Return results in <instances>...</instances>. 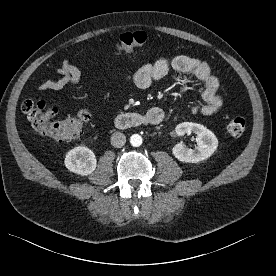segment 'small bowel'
I'll list each match as a JSON object with an SVG mask.
<instances>
[{"mask_svg":"<svg viewBox=\"0 0 276 276\" xmlns=\"http://www.w3.org/2000/svg\"><path fill=\"white\" fill-rule=\"evenodd\" d=\"M170 71L192 74L202 83V103L193 105L192 113L212 115L221 108L222 100L218 94L219 81L217 77L211 72L206 62L186 55L161 56L153 63L143 65L131 76L118 77V81L122 83L133 82L139 89H147L154 81L164 78ZM57 72L59 78L42 82L38 89L40 91H56L69 84L73 87L79 85L81 72L71 62L64 61ZM160 113L163 114L162 109L152 107L146 112V115L157 117Z\"/></svg>","mask_w":276,"mask_h":276,"instance_id":"1","label":"small bowel"}]
</instances>
